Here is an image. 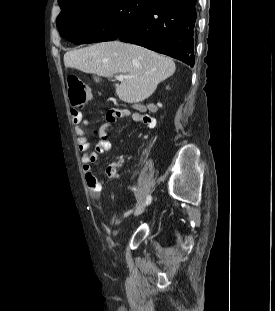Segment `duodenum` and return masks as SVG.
<instances>
[{"mask_svg": "<svg viewBox=\"0 0 275 311\" xmlns=\"http://www.w3.org/2000/svg\"><path fill=\"white\" fill-rule=\"evenodd\" d=\"M92 80L94 81L95 84H100L101 83V78L99 77L98 74H93L92 75Z\"/></svg>", "mask_w": 275, "mask_h": 311, "instance_id": "1", "label": "duodenum"}]
</instances>
